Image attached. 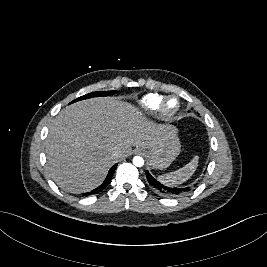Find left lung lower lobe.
I'll list each match as a JSON object with an SVG mask.
<instances>
[{"label": "left lung lower lobe", "instance_id": "1", "mask_svg": "<svg viewBox=\"0 0 267 267\" xmlns=\"http://www.w3.org/2000/svg\"><path fill=\"white\" fill-rule=\"evenodd\" d=\"M146 178H147L149 184L152 186V188H154L159 193H161L165 196H170V197H175V196H180V195L186 194L187 192L191 191L193 187H195L197 185V183H196L193 186H187V187L166 186V185L160 183L148 171H146Z\"/></svg>", "mask_w": 267, "mask_h": 267}]
</instances>
